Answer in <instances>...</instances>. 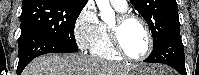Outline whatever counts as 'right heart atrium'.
I'll return each instance as SVG.
<instances>
[{
  "instance_id": "d8ad5b80",
  "label": "right heart atrium",
  "mask_w": 199,
  "mask_h": 75,
  "mask_svg": "<svg viewBox=\"0 0 199 75\" xmlns=\"http://www.w3.org/2000/svg\"><path fill=\"white\" fill-rule=\"evenodd\" d=\"M101 22L90 6L83 8L74 24V36L80 49H91L100 37Z\"/></svg>"
}]
</instances>
